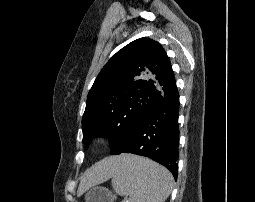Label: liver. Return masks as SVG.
Segmentation results:
<instances>
[{
	"label": "liver",
	"mask_w": 255,
	"mask_h": 202,
	"mask_svg": "<svg viewBox=\"0 0 255 202\" xmlns=\"http://www.w3.org/2000/svg\"><path fill=\"white\" fill-rule=\"evenodd\" d=\"M129 155H119L105 158L89 168L81 177L78 192L93 187L110 178L115 170H117Z\"/></svg>",
	"instance_id": "obj_1"
}]
</instances>
